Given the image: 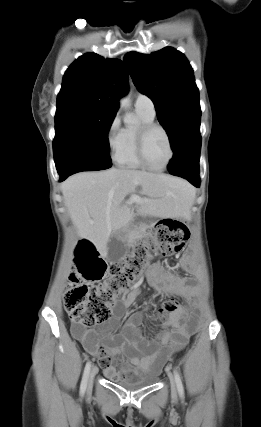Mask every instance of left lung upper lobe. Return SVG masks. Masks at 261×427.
Here are the masks:
<instances>
[{
    "label": "left lung upper lobe",
    "instance_id": "obj_1",
    "mask_svg": "<svg viewBox=\"0 0 261 427\" xmlns=\"http://www.w3.org/2000/svg\"><path fill=\"white\" fill-rule=\"evenodd\" d=\"M124 62L137 89L153 101L173 149L183 133L200 126L199 91L192 67L171 47L151 55L129 52Z\"/></svg>",
    "mask_w": 261,
    "mask_h": 427
}]
</instances>
